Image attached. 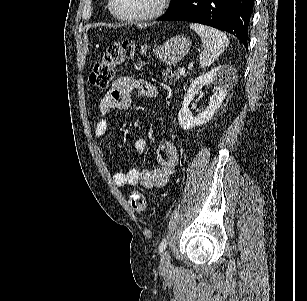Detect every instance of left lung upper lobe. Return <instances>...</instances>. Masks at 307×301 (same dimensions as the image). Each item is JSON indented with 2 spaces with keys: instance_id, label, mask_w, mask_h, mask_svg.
Returning <instances> with one entry per match:
<instances>
[{
  "instance_id": "obj_1",
  "label": "left lung upper lobe",
  "mask_w": 307,
  "mask_h": 301,
  "mask_svg": "<svg viewBox=\"0 0 307 301\" xmlns=\"http://www.w3.org/2000/svg\"><path fill=\"white\" fill-rule=\"evenodd\" d=\"M181 0H173V2H172V4H171V6H170V8L171 7H173V6H175L177 3H179Z\"/></svg>"
}]
</instances>
